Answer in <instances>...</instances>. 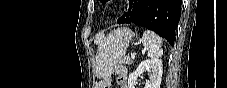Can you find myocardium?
<instances>
[{"instance_id": "1", "label": "myocardium", "mask_w": 227, "mask_h": 88, "mask_svg": "<svg viewBox=\"0 0 227 88\" xmlns=\"http://www.w3.org/2000/svg\"><path fill=\"white\" fill-rule=\"evenodd\" d=\"M119 10H120L119 7H113V8L110 10V12H111L112 14H116V13L119 12Z\"/></svg>"}]
</instances>
